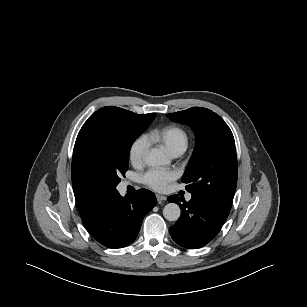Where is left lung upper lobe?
I'll return each mask as SVG.
<instances>
[{
  "mask_svg": "<svg viewBox=\"0 0 307 307\" xmlns=\"http://www.w3.org/2000/svg\"><path fill=\"white\" fill-rule=\"evenodd\" d=\"M172 121L188 124L196 136L194 152L182 182L193 198L228 217L237 186V156L233 134L213 111L193 107L166 114Z\"/></svg>",
  "mask_w": 307,
  "mask_h": 307,
  "instance_id": "left-lung-upper-lobe-1",
  "label": "left lung upper lobe"
}]
</instances>
